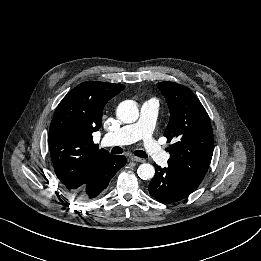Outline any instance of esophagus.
Returning a JSON list of instances; mask_svg holds the SVG:
<instances>
[{"label":"esophagus","mask_w":261,"mask_h":261,"mask_svg":"<svg viewBox=\"0 0 261 261\" xmlns=\"http://www.w3.org/2000/svg\"><path fill=\"white\" fill-rule=\"evenodd\" d=\"M130 159H131V161H135V162H145L144 159L139 158L137 156H131Z\"/></svg>","instance_id":"34e87169"}]
</instances>
